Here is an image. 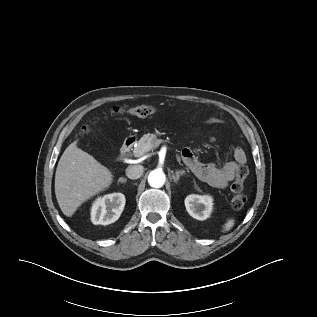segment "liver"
<instances>
[{"label":"liver","instance_id":"obj_1","mask_svg":"<svg viewBox=\"0 0 317 317\" xmlns=\"http://www.w3.org/2000/svg\"><path fill=\"white\" fill-rule=\"evenodd\" d=\"M112 181V172L73 142L62 154L55 173V195L61 211L71 217L83 202Z\"/></svg>","mask_w":317,"mask_h":317}]
</instances>
